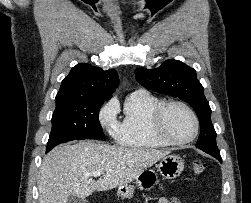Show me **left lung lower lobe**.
<instances>
[{
  "label": "left lung lower lobe",
  "instance_id": "0a47b994",
  "mask_svg": "<svg viewBox=\"0 0 251 203\" xmlns=\"http://www.w3.org/2000/svg\"><path fill=\"white\" fill-rule=\"evenodd\" d=\"M213 157L217 158L220 162H222L221 156L220 155H212Z\"/></svg>",
  "mask_w": 251,
  "mask_h": 203
}]
</instances>
